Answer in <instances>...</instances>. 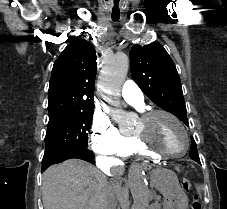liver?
<instances>
[{"label":"liver","mask_w":227,"mask_h":209,"mask_svg":"<svg viewBox=\"0 0 227 209\" xmlns=\"http://www.w3.org/2000/svg\"><path fill=\"white\" fill-rule=\"evenodd\" d=\"M108 181L94 165L69 159L43 173L44 209H105Z\"/></svg>","instance_id":"obj_1"}]
</instances>
